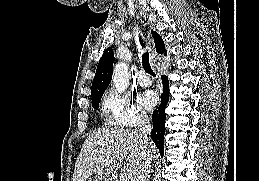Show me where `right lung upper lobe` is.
<instances>
[{
	"instance_id": "right-lung-upper-lobe-1",
	"label": "right lung upper lobe",
	"mask_w": 259,
	"mask_h": 181,
	"mask_svg": "<svg viewBox=\"0 0 259 181\" xmlns=\"http://www.w3.org/2000/svg\"><path fill=\"white\" fill-rule=\"evenodd\" d=\"M154 38L156 51L158 53H164L166 55L165 44L158 35L157 32L151 31ZM114 54L111 48H107L103 53L95 73V77L92 83V98L104 93L106 88L109 86V83L112 78V68H113Z\"/></svg>"
}]
</instances>
